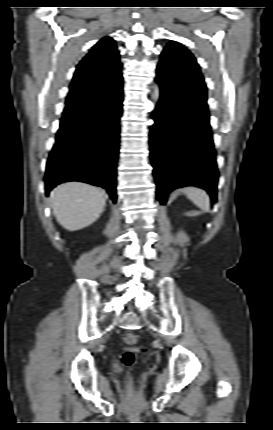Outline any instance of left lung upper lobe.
<instances>
[{"label":"left lung upper lobe","mask_w":273,"mask_h":430,"mask_svg":"<svg viewBox=\"0 0 273 430\" xmlns=\"http://www.w3.org/2000/svg\"><path fill=\"white\" fill-rule=\"evenodd\" d=\"M157 71L170 79L179 96L189 98L208 112L207 87L195 57L187 48L174 41L168 43Z\"/></svg>","instance_id":"obj_1"}]
</instances>
